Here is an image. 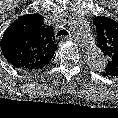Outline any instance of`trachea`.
Segmentation results:
<instances>
[{"label":"trachea","instance_id":"1","mask_svg":"<svg viewBox=\"0 0 118 118\" xmlns=\"http://www.w3.org/2000/svg\"><path fill=\"white\" fill-rule=\"evenodd\" d=\"M67 35H69V33H68V31H66V30H60V31H58L57 32V37H60V36H67Z\"/></svg>","mask_w":118,"mask_h":118}]
</instances>
